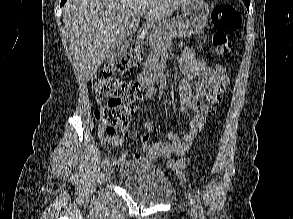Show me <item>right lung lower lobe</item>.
<instances>
[{
	"label": "right lung lower lobe",
	"instance_id": "obj_1",
	"mask_svg": "<svg viewBox=\"0 0 293 219\" xmlns=\"http://www.w3.org/2000/svg\"><path fill=\"white\" fill-rule=\"evenodd\" d=\"M66 2V0H61V6Z\"/></svg>",
	"mask_w": 293,
	"mask_h": 219
}]
</instances>
